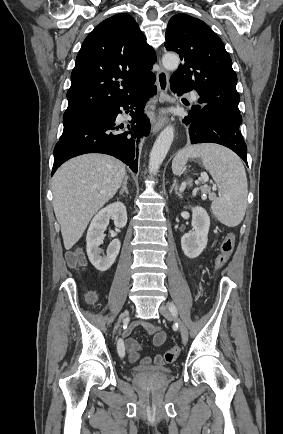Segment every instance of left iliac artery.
<instances>
[{
	"label": "left iliac artery",
	"instance_id": "left-iliac-artery-1",
	"mask_svg": "<svg viewBox=\"0 0 283 434\" xmlns=\"http://www.w3.org/2000/svg\"><path fill=\"white\" fill-rule=\"evenodd\" d=\"M168 307H169V309H170L174 314L177 313V308H176V306H175L173 303H169V304H168Z\"/></svg>",
	"mask_w": 283,
	"mask_h": 434
}]
</instances>
